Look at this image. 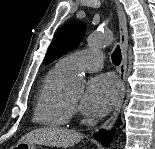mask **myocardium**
Instances as JSON below:
<instances>
[{
	"label": "myocardium",
	"instance_id": "obj_1",
	"mask_svg": "<svg viewBox=\"0 0 155 149\" xmlns=\"http://www.w3.org/2000/svg\"><path fill=\"white\" fill-rule=\"evenodd\" d=\"M66 102H67V104L69 105V107L71 109H75L76 108V105L74 103H72L71 101H69L67 98H66Z\"/></svg>",
	"mask_w": 155,
	"mask_h": 149
}]
</instances>
